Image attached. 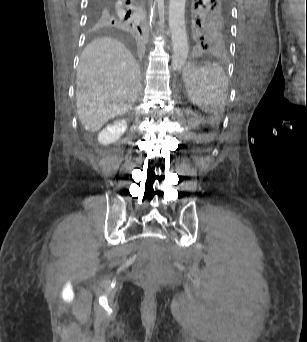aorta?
<instances>
[{
  "label": "aorta",
  "instance_id": "1",
  "mask_svg": "<svg viewBox=\"0 0 307 342\" xmlns=\"http://www.w3.org/2000/svg\"><path fill=\"white\" fill-rule=\"evenodd\" d=\"M185 2L186 0H169V28L173 44L172 68H182L188 58Z\"/></svg>",
  "mask_w": 307,
  "mask_h": 342
}]
</instances>
